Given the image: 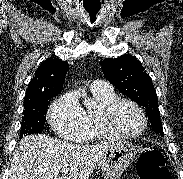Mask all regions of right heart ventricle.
Here are the masks:
<instances>
[{
  "label": "right heart ventricle",
  "instance_id": "1",
  "mask_svg": "<svg viewBox=\"0 0 183 179\" xmlns=\"http://www.w3.org/2000/svg\"><path fill=\"white\" fill-rule=\"evenodd\" d=\"M94 98L97 101L96 109H89L85 112L87 123H88V134L87 138H102L107 137L101 130L98 123V114L100 109L118 98L117 94L111 89L106 91H92Z\"/></svg>",
  "mask_w": 183,
  "mask_h": 179
}]
</instances>
